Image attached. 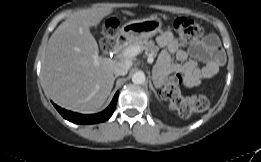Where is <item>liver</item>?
Here are the masks:
<instances>
[{"mask_svg": "<svg viewBox=\"0 0 261 162\" xmlns=\"http://www.w3.org/2000/svg\"><path fill=\"white\" fill-rule=\"evenodd\" d=\"M111 12V5L81 10L51 35L42 61V83L44 91L59 106L92 113L103 106L110 94L116 61L98 55L90 27L97 26Z\"/></svg>", "mask_w": 261, "mask_h": 162, "instance_id": "obj_1", "label": "liver"}]
</instances>
